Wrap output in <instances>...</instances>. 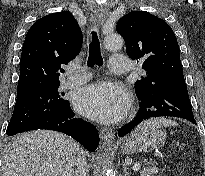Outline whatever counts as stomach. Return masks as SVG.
Wrapping results in <instances>:
<instances>
[{"label":"stomach","mask_w":205,"mask_h":176,"mask_svg":"<svg viewBox=\"0 0 205 176\" xmlns=\"http://www.w3.org/2000/svg\"><path fill=\"white\" fill-rule=\"evenodd\" d=\"M165 141L166 134L158 128L152 126L138 127L124 138L121 151L124 154L149 152L162 147Z\"/></svg>","instance_id":"obj_1"}]
</instances>
